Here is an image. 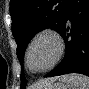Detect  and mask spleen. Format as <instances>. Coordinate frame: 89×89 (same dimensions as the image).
<instances>
[{"instance_id":"spleen-1","label":"spleen","mask_w":89,"mask_h":89,"mask_svg":"<svg viewBox=\"0 0 89 89\" xmlns=\"http://www.w3.org/2000/svg\"><path fill=\"white\" fill-rule=\"evenodd\" d=\"M67 89H89V78L82 74H68L61 77Z\"/></svg>"}]
</instances>
